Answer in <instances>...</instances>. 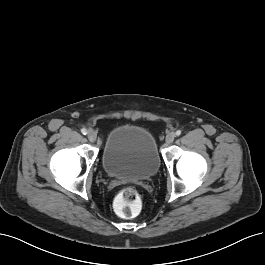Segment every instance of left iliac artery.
Instances as JSON below:
<instances>
[{
	"label": "left iliac artery",
	"instance_id": "obj_1",
	"mask_svg": "<svg viewBox=\"0 0 265 265\" xmlns=\"http://www.w3.org/2000/svg\"><path fill=\"white\" fill-rule=\"evenodd\" d=\"M175 134H176V136H180L181 135V130H177Z\"/></svg>",
	"mask_w": 265,
	"mask_h": 265
}]
</instances>
